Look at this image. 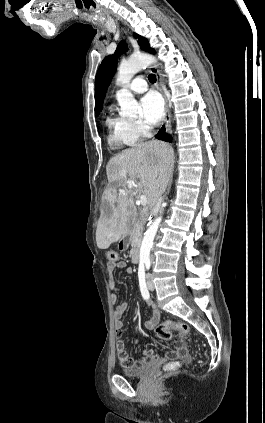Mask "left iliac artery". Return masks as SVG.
<instances>
[{"mask_svg":"<svg viewBox=\"0 0 265 423\" xmlns=\"http://www.w3.org/2000/svg\"><path fill=\"white\" fill-rule=\"evenodd\" d=\"M149 266H150V264L149 263H146V268L147 269H149Z\"/></svg>","mask_w":265,"mask_h":423,"instance_id":"1","label":"left iliac artery"}]
</instances>
